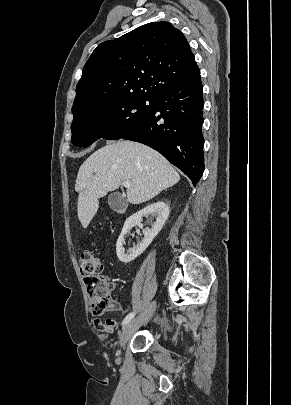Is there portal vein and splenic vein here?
Masks as SVG:
<instances>
[{
  "instance_id": "18ae733b",
  "label": "portal vein and splenic vein",
  "mask_w": 291,
  "mask_h": 405,
  "mask_svg": "<svg viewBox=\"0 0 291 405\" xmlns=\"http://www.w3.org/2000/svg\"><path fill=\"white\" fill-rule=\"evenodd\" d=\"M123 186L129 188L131 186V182L129 180L123 181Z\"/></svg>"
}]
</instances>
